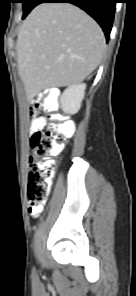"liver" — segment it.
<instances>
[{
	"mask_svg": "<svg viewBox=\"0 0 136 296\" xmlns=\"http://www.w3.org/2000/svg\"><path fill=\"white\" fill-rule=\"evenodd\" d=\"M105 50L100 26L69 3H41L21 25L18 72L28 99L51 87L82 82L99 65Z\"/></svg>",
	"mask_w": 136,
	"mask_h": 296,
	"instance_id": "6515ba94",
	"label": "liver"
}]
</instances>
